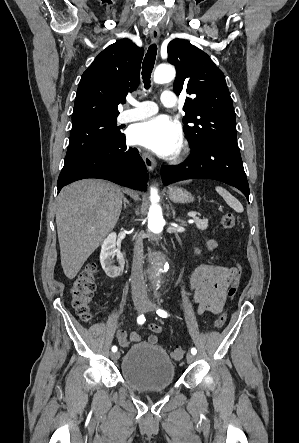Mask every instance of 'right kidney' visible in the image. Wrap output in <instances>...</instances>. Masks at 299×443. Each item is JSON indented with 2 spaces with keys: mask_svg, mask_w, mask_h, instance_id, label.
Returning <instances> with one entry per match:
<instances>
[{
  "mask_svg": "<svg viewBox=\"0 0 299 443\" xmlns=\"http://www.w3.org/2000/svg\"><path fill=\"white\" fill-rule=\"evenodd\" d=\"M116 233H110L101 245L100 263L106 275L115 278L121 275L124 270L125 259L119 249L116 248ZM116 256L119 266L113 264V257Z\"/></svg>",
  "mask_w": 299,
  "mask_h": 443,
  "instance_id": "obj_1",
  "label": "right kidney"
}]
</instances>
